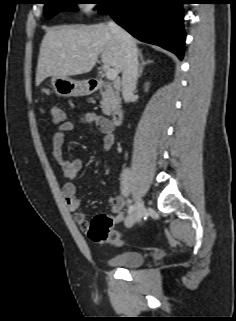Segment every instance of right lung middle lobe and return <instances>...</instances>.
<instances>
[{"label": "right lung middle lobe", "instance_id": "dd1d6c3e", "mask_svg": "<svg viewBox=\"0 0 236 321\" xmlns=\"http://www.w3.org/2000/svg\"><path fill=\"white\" fill-rule=\"evenodd\" d=\"M110 0H97L96 9L104 7ZM75 0H45L44 13L47 19L53 17L60 11L69 10L76 11Z\"/></svg>", "mask_w": 236, "mask_h": 321}]
</instances>
